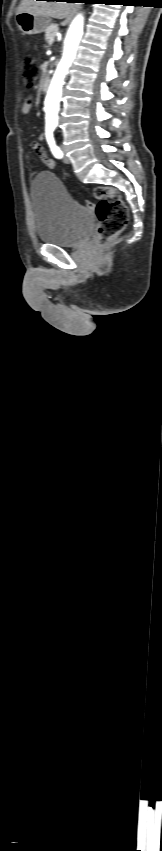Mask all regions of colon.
Returning <instances> with one entry per match:
<instances>
[{
  "mask_svg": "<svg viewBox=\"0 0 162 851\" xmlns=\"http://www.w3.org/2000/svg\"><path fill=\"white\" fill-rule=\"evenodd\" d=\"M23 75L26 85L31 87L37 78L38 66L30 56H26L23 60ZM94 196L98 202L96 204L88 202L87 205L95 209L99 220L96 246L102 248L124 230L129 214L116 188L98 186L94 189Z\"/></svg>",
  "mask_w": 162,
  "mask_h": 851,
  "instance_id": "5ec220e1",
  "label": "colon"
}]
</instances>
